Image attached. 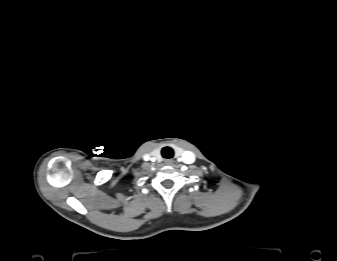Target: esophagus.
<instances>
[{"mask_svg": "<svg viewBox=\"0 0 337 261\" xmlns=\"http://www.w3.org/2000/svg\"><path fill=\"white\" fill-rule=\"evenodd\" d=\"M173 163H174L173 159H166V160H165V164H166V165H169V166H170V165H172Z\"/></svg>", "mask_w": 337, "mask_h": 261, "instance_id": "1", "label": "esophagus"}]
</instances>
